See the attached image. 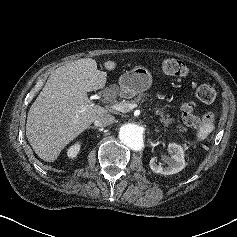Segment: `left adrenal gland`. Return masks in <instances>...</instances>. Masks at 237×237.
<instances>
[{
    "label": "left adrenal gland",
    "instance_id": "obj_1",
    "mask_svg": "<svg viewBox=\"0 0 237 237\" xmlns=\"http://www.w3.org/2000/svg\"><path fill=\"white\" fill-rule=\"evenodd\" d=\"M155 132H160L159 130H155Z\"/></svg>",
    "mask_w": 237,
    "mask_h": 237
}]
</instances>
